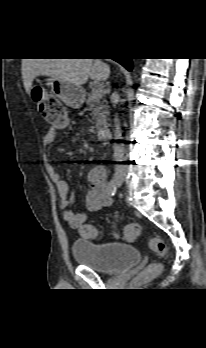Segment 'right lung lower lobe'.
Here are the masks:
<instances>
[{
	"label": "right lung lower lobe",
	"instance_id": "98d812e1",
	"mask_svg": "<svg viewBox=\"0 0 206 348\" xmlns=\"http://www.w3.org/2000/svg\"><path fill=\"white\" fill-rule=\"evenodd\" d=\"M115 61L119 62L121 65H123L128 71L132 70V59L129 58H122V59H114Z\"/></svg>",
	"mask_w": 206,
	"mask_h": 348
}]
</instances>
